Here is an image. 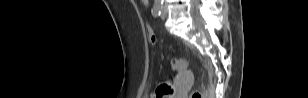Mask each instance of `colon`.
<instances>
[{"instance_id": "colon-1", "label": "colon", "mask_w": 308, "mask_h": 98, "mask_svg": "<svg viewBox=\"0 0 308 98\" xmlns=\"http://www.w3.org/2000/svg\"><path fill=\"white\" fill-rule=\"evenodd\" d=\"M150 41L152 43L155 42V37L153 34H150ZM171 68L176 72H183L187 68V62L184 59L181 58H172L170 60ZM173 88L171 83L166 82L159 86L157 90V98H164L168 95L172 94ZM204 95L201 91H193L190 95V98H203Z\"/></svg>"}]
</instances>
